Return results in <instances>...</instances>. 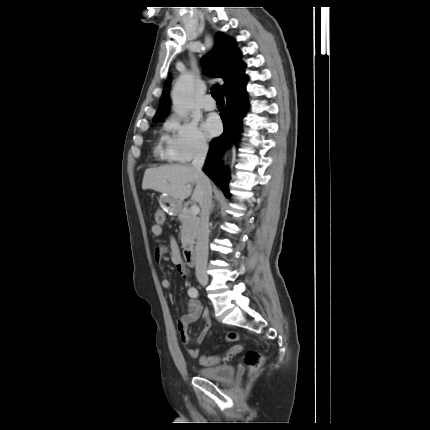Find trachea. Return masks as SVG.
<instances>
[{"label":"trachea","mask_w":430,"mask_h":430,"mask_svg":"<svg viewBox=\"0 0 430 430\" xmlns=\"http://www.w3.org/2000/svg\"><path fill=\"white\" fill-rule=\"evenodd\" d=\"M211 94L213 98L217 101L224 100L222 88L218 84L212 87Z\"/></svg>","instance_id":"1"}]
</instances>
